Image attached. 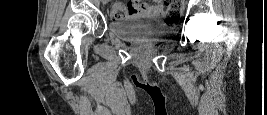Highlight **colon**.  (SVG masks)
Wrapping results in <instances>:
<instances>
[{"instance_id":"5ec220e1","label":"colon","mask_w":267,"mask_h":115,"mask_svg":"<svg viewBox=\"0 0 267 115\" xmlns=\"http://www.w3.org/2000/svg\"><path fill=\"white\" fill-rule=\"evenodd\" d=\"M184 0H169L165 2L166 15L168 20H175L179 18ZM132 7L130 4H114L110 7L108 14L113 20L121 19L126 14H131Z\"/></svg>"}]
</instances>
